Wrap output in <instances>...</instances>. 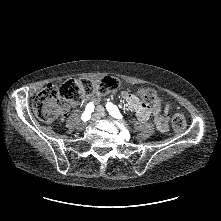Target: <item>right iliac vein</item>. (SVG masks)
<instances>
[{"label":"right iliac vein","instance_id":"63e3f726","mask_svg":"<svg viewBox=\"0 0 221 221\" xmlns=\"http://www.w3.org/2000/svg\"><path fill=\"white\" fill-rule=\"evenodd\" d=\"M99 116H100L99 114L94 115V117H96V118L99 117ZM84 127H85V123H81L80 126H79L80 129H83Z\"/></svg>","mask_w":221,"mask_h":221}]
</instances>
